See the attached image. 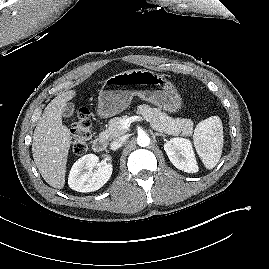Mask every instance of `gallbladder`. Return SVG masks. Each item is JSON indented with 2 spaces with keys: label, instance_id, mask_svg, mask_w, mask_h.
<instances>
[{
  "label": "gallbladder",
  "instance_id": "bac80fb5",
  "mask_svg": "<svg viewBox=\"0 0 269 269\" xmlns=\"http://www.w3.org/2000/svg\"><path fill=\"white\" fill-rule=\"evenodd\" d=\"M75 112V107L72 103H67L65 107L63 108L62 115L65 118L71 117Z\"/></svg>",
  "mask_w": 269,
  "mask_h": 269
}]
</instances>
